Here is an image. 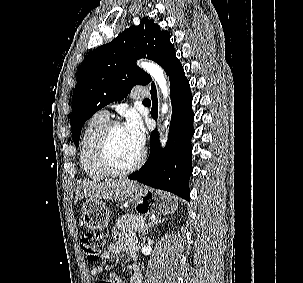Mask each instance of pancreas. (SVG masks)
Returning <instances> with one entry per match:
<instances>
[{"label": "pancreas", "instance_id": "obj_1", "mask_svg": "<svg viewBox=\"0 0 303 283\" xmlns=\"http://www.w3.org/2000/svg\"><path fill=\"white\" fill-rule=\"evenodd\" d=\"M146 218L143 215L127 214L118 218L116 226L122 233L143 231Z\"/></svg>", "mask_w": 303, "mask_h": 283}]
</instances>
